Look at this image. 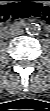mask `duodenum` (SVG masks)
<instances>
[{
	"instance_id": "duodenum-1",
	"label": "duodenum",
	"mask_w": 50,
	"mask_h": 111,
	"mask_svg": "<svg viewBox=\"0 0 50 111\" xmlns=\"http://www.w3.org/2000/svg\"><path fill=\"white\" fill-rule=\"evenodd\" d=\"M21 26H22L21 24H18V25H15V26H9V27L3 28L2 31H1V37L2 38H7L8 36H10L14 32V30L16 28H19Z\"/></svg>"
}]
</instances>
